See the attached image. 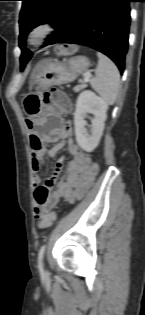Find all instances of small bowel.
<instances>
[{
	"instance_id": "c3829d8e",
	"label": "small bowel",
	"mask_w": 145,
	"mask_h": 315,
	"mask_svg": "<svg viewBox=\"0 0 145 315\" xmlns=\"http://www.w3.org/2000/svg\"><path fill=\"white\" fill-rule=\"evenodd\" d=\"M28 128L32 129V122H28ZM71 125L67 124L57 135L59 142L51 146L47 151L43 148L44 142L53 139L52 131L46 129L38 138L31 136L28 140V147H32V186L35 189L34 197L38 203L34 207V217L38 221L40 228H47L52 223H43V216H49L53 207L60 201L74 202L82 199L91 189L99 172L98 165L92 162L90 156L78 150L69 135ZM64 147H67L71 154V159L67 164L64 177L55 186L53 196L49 199V188L59 179L62 171V160H59L53 170L52 175L47 179L44 185L41 184V178L37 172L43 167V156L45 152L50 157H55ZM55 218V217H54Z\"/></svg>"
}]
</instances>
